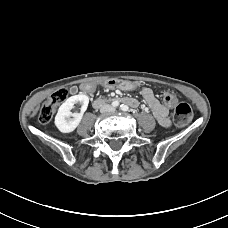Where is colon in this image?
I'll return each mask as SVG.
<instances>
[{
	"label": "colon",
	"mask_w": 228,
	"mask_h": 228,
	"mask_svg": "<svg viewBox=\"0 0 228 228\" xmlns=\"http://www.w3.org/2000/svg\"><path fill=\"white\" fill-rule=\"evenodd\" d=\"M68 97V91L66 89H58L54 91L48 99L42 104L39 114L38 120L43 123H49L59 105H61ZM165 101L175 106L173 119L176 125L178 126H185L187 125L192 119V109L191 107L185 102H179L178 98L174 94H167L165 96Z\"/></svg>",
	"instance_id": "5ec220e1"
}]
</instances>
